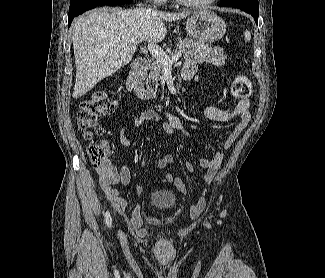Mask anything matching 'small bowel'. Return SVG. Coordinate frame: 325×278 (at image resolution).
<instances>
[{
    "instance_id": "c3829d8e",
    "label": "small bowel",
    "mask_w": 325,
    "mask_h": 278,
    "mask_svg": "<svg viewBox=\"0 0 325 278\" xmlns=\"http://www.w3.org/2000/svg\"><path fill=\"white\" fill-rule=\"evenodd\" d=\"M196 70V61L194 59H187L184 63L183 75L184 73H188V78L191 79L195 76ZM204 114L213 122H227L234 117L240 118V121L234 126L228 137L223 142V147L228 149L250 121V100L247 97L240 99L235 110L230 114L214 106L205 107ZM147 122H162L166 132L170 134L179 132L195 143V139L191 132L183 125L180 118L171 112L145 110L134 114L129 120V123L133 125L134 129H139ZM126 130V125L119 130V141L124 147H128L132 144V138L126 133ZM223 160L224 154L220 151L216 152L212 158H202L200 160V166L205 170V175L202 180V184L205 188L211 185ZM173 161V155L166 154L158 159L156 166L158 169H165L170 166ZM187 167L190 171L193 170L192 165L187 164ZM96 173L99 178V184L107 199L113 202L116 206L124 209L126 207V202L122 198L120 191L115 186L117 184L128 185L130 183L131 172L127 164L123 163L120 168H117L109 158H106L103 165L96 169ZM161 180L165 184L174 185L181 192L187 190V186L176 175L168 173L163 175ZM144 188L143 185H137L135 188L136 193H142Z\"/></svg>"
}]
</instances>
